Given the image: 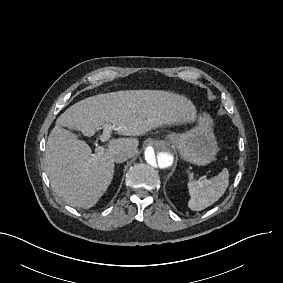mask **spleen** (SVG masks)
Masks as SVG:
<instances>
[{
  "label": "spleen",
  "mask_w": 283,
  "mask_h": 283,
  "mask_svg": "<svg viewBox=\"0 0 283 283\" xmlns=\"http://www.w3.org/2000/svg\"><path fill=\"white\" fill-rule=\"evenodd\" d=\"M228 186L229 172L227 168L211 179L200 178L198 181H189L188 189L191 198L188 207L193 211L204 210L218 201Z\"/></svg>",
  "instance_id": "obj_1"
}]
</instances>
